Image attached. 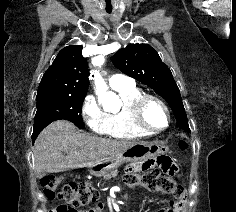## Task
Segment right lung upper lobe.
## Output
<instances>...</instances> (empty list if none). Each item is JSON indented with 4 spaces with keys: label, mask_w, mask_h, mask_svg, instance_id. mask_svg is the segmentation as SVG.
Returning <instances> with one entry per match:
<instances>
[{
    "label": "right lung upper lobe",
    "mask_w": 236,
    "mask_h": 212,
    "mask_svg": "<svg viewBox=\"0 0 236 212\" xmlns=\"http://www.w3.org/2000/svg\"><path fill=\"white\" fill-rule=\"evenodd\" d=\"M81 45L63 48L44 73L37 97L86 95L88 90L87 60Z\"/></svg>",
    "instance_id": "obj_1"
}]
</instances>
